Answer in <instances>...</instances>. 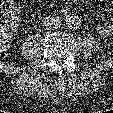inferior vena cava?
<instances>
[{
  "label": "inferior vena cava",
  "mask_w": 113,
  "mask_h": 113,
  "mask_svg": "<svg viewBox=\"0 0 113 113\" xmlns=\"http://www.w3.org/2000/svg\"><path fill=\"white\" fill-rule=\"evenodd\" d=\"M61 22L62 21L59 16L49 15L43 20V27L49 30L58 29L61 25Z\"/></svg>",
  "instance_id": "inferior-vena-cava-1"
}]
</instances>
